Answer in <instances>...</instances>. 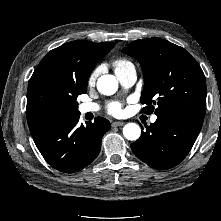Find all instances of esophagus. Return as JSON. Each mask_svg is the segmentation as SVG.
Here are the masks:
<instances>
[{"label":"esophagus","instance_id":"obj_1","mask_svg":"<svg viewBox=\"0 0 221 221\" xmlns=\"http://www.w3.org/2000/svg\"><path fill=\"white\" fill-rule=\"evenodd\" d=\"M125 124V122L123 121H114L112 122V127H119V126H123Z\"/></svg>","mask_w":221,"mask_h":221}]
</instances>
